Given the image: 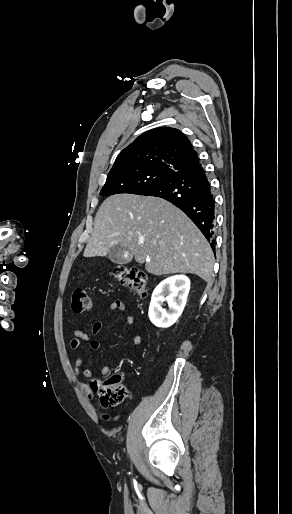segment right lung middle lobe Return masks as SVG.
Wrapping results in <instances>:
<instances>
[{
  "label": "right lung middle lobe",
  "mask_w": 292,
  "mask_h": 514,
  "mask_svg": "<svg viewBox=\"0 0 292 514\" xmlns=\"http://www.w3.org/2000/svg\"><path fill=\"white\" fill-rule=\"evenodd\" d=\"M172 174L167 172H143L130 175L107 177L100 195L109 196L118 193L143 195Z\"/></svg>",
  "instance_id": "obj_1"
}]
</instances>
